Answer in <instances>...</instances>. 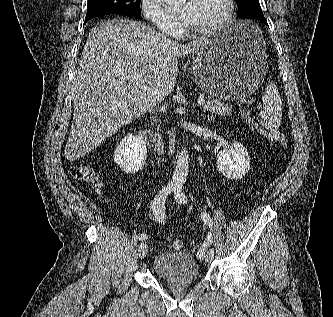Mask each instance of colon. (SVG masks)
<instances>
[{"label":"colon","mask_w":333,"mask_h":317,"mask_svg":"<svg viewBox=\"0 0 333 317\" xmlns=\"http://www.w3.org/2000/svg\"><path fill=\"white\" fill-rule=\"evenodd\" d=\"M243 118L247 123H249L252 127H254L263 137L266 139L277 143L281 147H286L287 139L286 136L279 130L276 129H267L260 126L253 119L251 113L249 111H244L242 113ZM70 175L80 181H84L93 187H98L100 185V181L94 170L87 165H75L69 169ZM172 247L175 250H180L183 247V241L180 239H175L172 242Z\"/></svg>","instance_id":"5ec220e1"}]
</instances>
